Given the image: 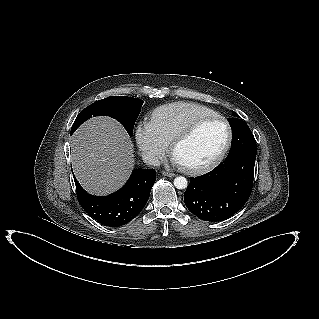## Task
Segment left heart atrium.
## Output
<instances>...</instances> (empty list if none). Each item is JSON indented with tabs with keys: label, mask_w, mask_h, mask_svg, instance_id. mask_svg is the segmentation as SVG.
Instances as JSON below:
<instances>
[{
	"label": "left heart atrium",
	"mask_w": 319,
	"mask_h": 319,
	"mask_svg": "<svg viewBox=\"0 0 319 319\" xmlns=\"http://www.w3.org/2000/svg\"><path fill=\"white\" fill-rule=\"evenodd\" d=\"M172 161L176 164H180L179 161L177 160V158L173 155Z\"/></svg>",
	"instance_id": "1"
}]
</instances>
